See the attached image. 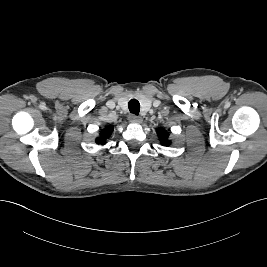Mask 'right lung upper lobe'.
Wrapping results in <instances>:
<instances>
[{
  "label": "right lung upper lobe",
  "instance_id": "right-lung-upper-lobe-1",
  "mask_svg": "<svg viewBox=\"0 0 267 267\" xmlns=\"http://www.w3.org/2000/svg\"><path fill=\"white\" fill-rule=\"evenodd\" d=\"M112 131H113V127L107 126L105 129H103L100 132V137L96 139V143L104 145L106 143V139L111 135Z\"/></svg>",
  "mask_w": 267,
  "mask_h": 267
}]
</instances>
